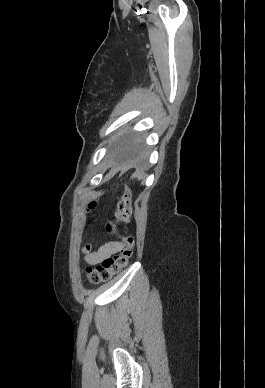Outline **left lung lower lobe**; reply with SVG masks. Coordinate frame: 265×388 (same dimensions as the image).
Listing matches in <instances>:
<instances>
[{
	"mask_svg": "<svg viewBox=\"0 0 265 388\" xmlns=\"http://www.w3.org/2000/svg\"><path fill=\"white\" fill-rule=\"evenodd\" d=\"M122 157L127 160H134L137 158V153L134 149L128 148L124 150V153L122 154Z\"/></svg>",
	"mask_w": 265,
	"mask_h": 388,
	"instance_id": "obj_1",
	"label": "left lung lower lobe"
}]
</instances>
